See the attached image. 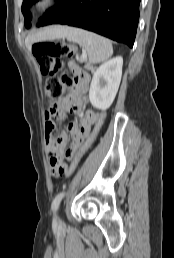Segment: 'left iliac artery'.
<instances>
[{
	"label": "left iliac artery",
	"instance_id": "obj_1",
	"mask_svg": "<svg viewBox=\"0 0 174 258\" xmlns=\"http://www.w3.org/2000/svg\"><path fill=\"white\" fill-rule=\"evenodd\" d=\"M64 195H65V192L63 191V192H60L59 194H57L56 197L54 198L52 205H51V209L54 213L57 212L60 202H61L62 198L64 197Z\"/></svg>",
	"mask_w": 174,
	"mask_h": 258
}]
</instances>
